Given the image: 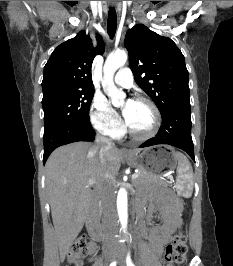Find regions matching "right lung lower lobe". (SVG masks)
Returning <instances> with one entry per match:
<instances>
[{"instance_id":"98d812e1","label":"right lung lower lobe","mask_w":233,"mask_h":266,"mask_svg":"<svg viewBox=\"0 0 233 266\" xmlns=\"http://www.w3.org/2000/svg\"><path fill=\"white\" fill-rule=\"evenodd\" d=\"M95 131L90 121L73 123L61 126L51 132L44 134V156L45 164L51 152L59 146L77 141H94Z\"/></svg>"}]
</instances>
